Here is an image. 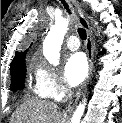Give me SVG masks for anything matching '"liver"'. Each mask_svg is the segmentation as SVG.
Listing matches in <instances>:
<instances>
[{"label": "liver", "instance_id": "1", "mask_svg": "<svg viewBox=\"0 0 122 123\" xmlns=\"http://www.w3.org/2000/svg\"><path fill=\"white\" fill-rule=\"evenodd\" d=\"M66 115L54 102L29 99L13 113L10 123H65Z\"/></svg>", "mask_w": 122, "mask_h": 123}]
</instances>
